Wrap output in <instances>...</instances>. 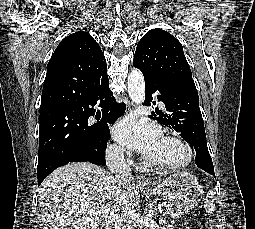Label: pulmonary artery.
<instances>
[{
    "mask_svg": "<svg viewBox=\"0 0 255 229\" xmlns=\"http://www.w3.org/2000/svg\"><path fill=\"white\" fill-rule=\"evenodd\" d=\"M160 106L163 108L164 107V104L162 102H160Z\"/></svg>",
    "mask_w": 255,
    "mask_h": 229,
    "instance_id": "pulmonary-artery-1",
    "label": "pulmonary artery"
}]
</instances>
